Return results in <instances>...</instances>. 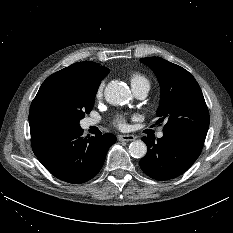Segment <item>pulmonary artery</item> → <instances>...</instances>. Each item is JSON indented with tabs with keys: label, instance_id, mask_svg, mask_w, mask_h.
<instances>
[{
	"label": "pulmonary artery",
	"instance_id": "obj_1",
	"mask_svg": "<svg viewBox=\"0 0 233 233\" xmlns=\"http://www.w3.org/2000/svg\"><path fill=\"white\" fill-rule=\"evenodd\" d=\"M132 88H133V92H134L135 96L137 98H139V99H142V98L146 97L150 86H149V84L145 83V84H141V85H138V86H134ZM87 123H88V125H94V124H96V121L92 120V119H89ZM158 137H160V138L163 137V133L160 132L158 134Z\"/></svg>",
	"mask_w": 233,
	"mask_h": 233
}]
</instances>
